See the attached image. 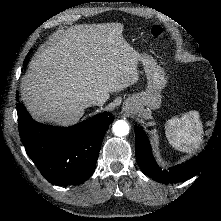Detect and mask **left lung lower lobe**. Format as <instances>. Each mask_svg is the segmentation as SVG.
I'll return each instance as SVG.
<instances>
[{
  "mask_svg": "<svg viewBox=\"0 0 221 221\" xmlns=\"http://www.w3.org/2000/svg\"><path fill=\"white\" fill-rule=\"evenodd\" d=\"M219 89L218 119L214 129V135L210 139L205 150L197 157L186 161L184 164L170 168L169 171L161 170L153 158L150 142L142 128L135 126V155L141 170L160 183H173L189 179L198 174L207 162L210 154L218 141H221V86Z\"/></svg>",
  "mask_w": 221,
  "mask_h": 221,
  "instance_id": "left-lung-lower-lobe-1",
  "label": "left lung lower lobe"
}]
</instances>
